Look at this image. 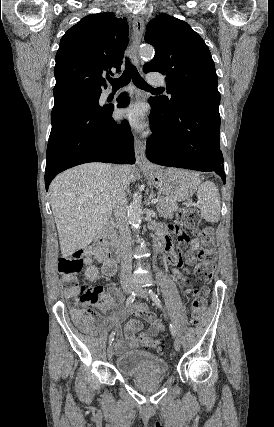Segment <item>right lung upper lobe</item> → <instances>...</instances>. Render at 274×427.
Segmentation results:
<instances>
[{"label": "right lung upper lobe", "mask_w": 274, "mask_h": 427, "mask_svg": "<svg viewBox=\"0 0 274 427\" xmlns=\"http://www.w3.org/2000/svg\"><path fill=\"white\" fill-rule=\"evenodd\" d=\"M126 18L112 12L81 19L62 37L56 54L54 105L77 95L101 93L105 74L120 72L128 44Z\"/></svg>", "instance_id": "cb5924a9"}]
</instances>
